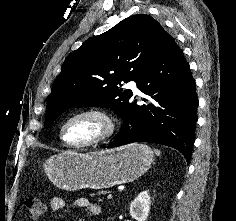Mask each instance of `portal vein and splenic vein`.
<instances>
[{
    "label": "portal vein and splenic vein",
    "instance_id": "18ae733b",
    "mask_svg": "<svg viewBox=\"0 0 236 221\" xmlns=\"http://www.w3.org/2000/svg\"><path fill=\"white\" fill-rule=\"evenodd\" d=\"M113 198V195L112 194H108L107 195V199H112Z\"/></svg>",
    "mask_w": 236,
    "mask_h": 221
}]
</instances>
